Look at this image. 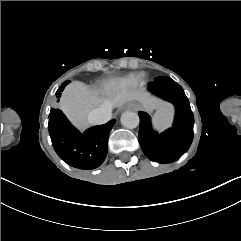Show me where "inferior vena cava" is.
Segmentation results:
<instances>
[{"mask_svg": "<svg viewBox=\"0 0 241 241\" xmlns=\"http://www.w3.org/2000/svg\"><path fill=\"white\" fill-rule=\"evenodd\" d=\"M113 106L111 103H104L88 114V121L91 124H104L112 117Z\"/></svg>", "mask_w": 241, "mask_h": 241, "instance_id": "1", "label": "inferior vena cava"}]
</instances>
